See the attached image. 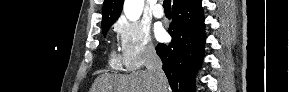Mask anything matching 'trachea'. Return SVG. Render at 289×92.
Segmentation results:
<instances>
[{
  "label": "trachea",
  "mask_w": 289,
  "mask_h": 92,
  "mask_svg": "<svg viewBox=\"0 0 289 92\" xmlns=\"http://www.w3.org/2000/svg\"><path fill=\"white\" fill-rule=\"evenodd\" d=\"M163 8L165 12H171V0H165L163 2Z\"/></svg>",
  "instance_id": "1"
}]
</instances>
